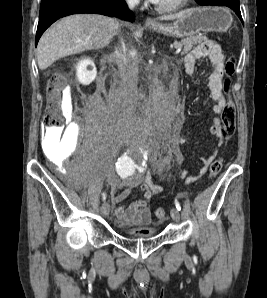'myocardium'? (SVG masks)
Wrapping results in <instances>:
<instances>
[{
    "instance_id": "myocardium-1",
    "label": "myocardium",
    "mask_w": 267,
    "mask_h": 298,
    "mask_svg": "<svg viewBox=\"0 0 267 298\" xmlns=\"http://www.w3.org/2000/svg\"><path fill=\"white\" fill-rule=\"evenodd\" d=\"M188 2L189 0H178L176 3L170 6H161L156 3L155 8L161 13L171 14L179 12Z\"/></svg>"
}]
</instances>
